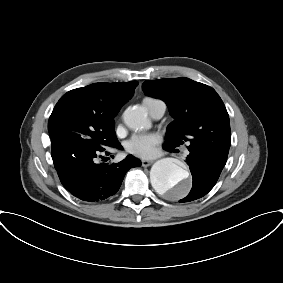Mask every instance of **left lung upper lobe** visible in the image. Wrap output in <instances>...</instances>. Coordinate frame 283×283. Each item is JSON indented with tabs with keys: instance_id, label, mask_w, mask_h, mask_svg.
Here are the masks:
<instances>
[{
	"instance_id": "left-lung-upper-lobe-1",
	"label": "left lung upper lobe",
	"mask_w": 283,
	"mask_h": 283,
	"mask_svg": "<svg viewBox=\"0 0 283 283\" xmlns=\"http://www.w3.org/2000/svg\"><path fill=\"white\" fill-rule=\"evenodd\" d=\"M146 95L165 100L174 118L167 127L165 147L174 149L184 141L188 150L211 160H227L231 145L229 116L215 90L188 78L147 80Z\"/></svg>"
}]
</instances>
